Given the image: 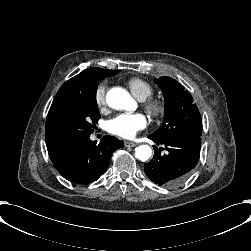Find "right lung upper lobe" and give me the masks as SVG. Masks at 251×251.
Here are the masks:
<instances>
[{"instance_id":"right-lung-upper-lobe-1","label":"right lung upper lobe","mask_w":251,"mask_h":251,"mask_svg":"<svg viewBox=\"0 0 251 251\" xmlns=\"http://www.w3.org/2000/svg\"><path fill=\"white\" fill-rule=\"evenodd\" d=\"M109 71L110 70L108 69H102L97 67H91L89 69L82 71L80 74L76 75L75 77H72L61 86L54 100L58 99L60 96L64 94L78 90L90 75H101ZM45 140L48 151L68 142L64 138H62L56 131V129L53 127L49 115L47 116L46 119Z\"/></svg>"}]
</instances>
